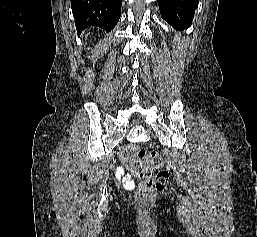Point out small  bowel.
<instances>
[{"mask_svg":"<svg viewBox=\"0 0 257 237\" xmlns=\"http://www.w3.org/2000/svg\"><path fill=\"white\" fill-rule=\"evenodd\" d=\"M124 162H128L129 158L128 157H124L123 158ZM116 175L118 178L122 179L123 181H128L129 180V176L125 174V171L123 168L119 167L116 170Z\"/></svg>","mask_w":257,"mask_h":237,"instance_id":"small-bowel-1","label":"small bowel"}]
</instances>
